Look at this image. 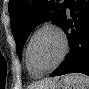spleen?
Segmentation results:
<instances>
[{
    "mask_svg": "<svg viewBox=\"0 0 89 89\" xmlns=\"http://www.w3.org/2000/svg\"><path fill=\"white\" fill-rule=\"evenodd\" d=\"M67 83L68 89H88L89 77L81 73L68 74L62 78Z\"/></svg>",
    "mask_w": 89,
    "mask_h": 89,
    "instance_id": "obj_1",
    "label": "spleen"
}]
</instances>
